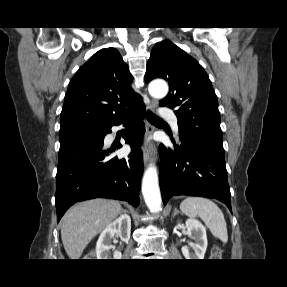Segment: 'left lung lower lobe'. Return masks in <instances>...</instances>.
<instances>
[{
  "label": "left lung lower lobe",
  "mask_w": 287,
  "mask_h": 287,
  "mask_svg": "<svg viewBox=\"0 0 287 287\" xmlns=\"http://www.w3.org/2000/svg\"><path fill=\"white\" fill-rule=\"evenodd\" d=\"M174 148L160 145L159 182L163 203L173 196L218 199L231 211L230 187L224 152L204 143L180 137Z\"/></svg>",
  "instance_id": "obj_1"
}]
</instances>
